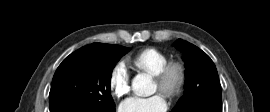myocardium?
I'll list each match as a JSON object with an SVG mask.
<instances>
[{
	"label": "myocardium",
	"instance_id": "obj_1",
	"mask_svg": "<svg viewBox=\"0 0 270 112\" xmlns=\"http://www.w3.org/2000/svg\"><path fill=\"white\" fill-rule=\"evenodd\" d=\"M158 91L168 99L181 95L187 81V69L180 60L168 61L162 69L153 76Z\"/></svg>",
	"mask_w": 270,
	"mask_h": 112
}]
</instances>
